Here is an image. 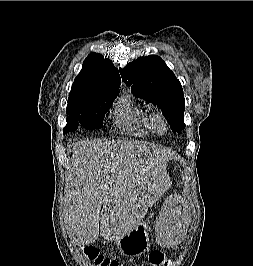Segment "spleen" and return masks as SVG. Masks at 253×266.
<instances>
[{
    "mask_svg": "<svg viewBox=\"0 0 253 266\" xmlns=\"http://www.w3.org/2000/svg\"><path fill=\"white\" fill-rule=\"evenodd\" d=\"M187 207H162L155 216V235L160 246H182Z\"/></svg>",
    "mask_w": 253,
    "mask_h": 266,
    "instance_id": "spleen-1",
    "label": "spleen"
}]
</instances>
